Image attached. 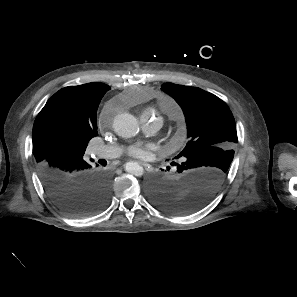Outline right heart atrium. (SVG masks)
Masks as SVG:
<instances>
[{"label": "right heart atrium", "instance_id": "obj_1", "mask_svg": "<svg viewBox=\"0 0 297 297\" xmlns=\"http://www.w3.org/2000/svg\"><path fill=\"white\" fill-rule=\"evenodd\" d=\"M112 106L110 104L106 105L104 110H103V114H102V121L104 123H108L111 120V116H112Z\"/></svg>", "mask_w": 297, "mask_h": 297}]
</instances>
